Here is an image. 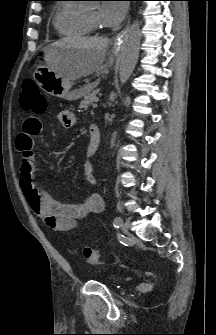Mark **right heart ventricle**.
Returning a JSON list of instances; mask_svg holds the SVG:
<instances>
[{
  "label": "right heart ventricle",
  "mask_w": 216,
  "mask_h": 335,
  "mask_svg": "<svg viewBox=\"0 0 216 335\" xmlns=\"http://www.w3.org/2000/svg\"><path fill=\"white\" fill-rule=\"evenodd\" d=\"M53 26L58 35L63 37H83L92 33L85 14L78 4L66 2L57 7L53 18Z\"/></svg>",
  "instance_id": "right-heart-ventricle-1"
}]
</instances>
